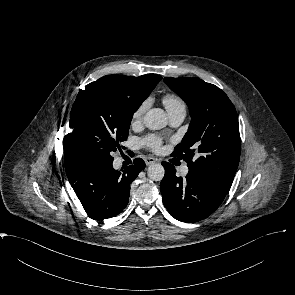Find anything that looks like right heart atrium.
Here are the masks:
<instances>
[{
    "label": "right heart atrium",
    "mask_w": 295,
    "mask_h": 295,
    "mask_svg": "<svg viewBox=\"0 0 295 295\" xmlns=\"http://www.w3.org/2000/svg\"><path fill=\"white\" fill-rule=\"evenodd\" d=\"M151 100L149 98L143 100L134 110L133 114H132V124L135 125L139 122H141L144 113L146 112V110L148 109V107L150 106Z\"/></svg>",
    "instance_id": "d8ad5b80"
}]
</instances>
